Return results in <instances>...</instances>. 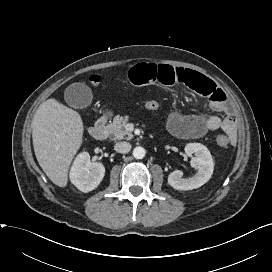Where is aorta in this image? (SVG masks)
I'll use <instances>...</instances> for the list:
<instances>
[{"instance_id": "obj_1", "label": "aorta", "mask_w": 272, "mask_h": 272, "mask_svg": "<svg viewBox=\"0 0 272 272\" xmlns=\"http://www.w3.org/2000/svg\"><path fill=\"white\" fill-rule=\"evenodd\" d=\"M133 156L136 158V159H142L145 157V149L143 147H135L134 150H133Z\"/></svg>"}]
</instances>
